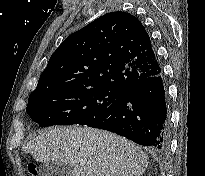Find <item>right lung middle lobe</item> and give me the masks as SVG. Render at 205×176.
<instances>
[{
    "label": "right lung middle lobe",
    "instance_id": "obj_1",
    "mask_svg": "<svg viewBox=\"0 0 205 176\" xmlns=\"http://www.w3.org/2000/svg\"><path fill=\"white\" fill-rule=\"evenodd\" d=\"M106 87L65 89L29 96L26 112L41 127L87 125L120 95Z\"/></svg>",
    "mask_w": 205,
    "mask_h": 176
}]
</instances>
